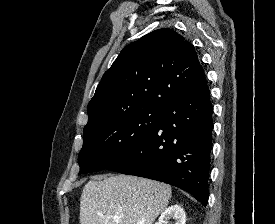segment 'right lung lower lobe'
<instances>
[{"mask_svg":"<svg viewBox=\"0 0 275 224\" xmlns=\"http://www.w3.org/2000/svg\"><path fill=\"white\" fill-rule=\"evenodd\" d=\"M212 128L209 88L202 75L165 108L152 133L108 170L168 183L206 206Z\"/></svg>","mask_w":275,"mask_h":224,"instance_id":"98d812e1","label":"right lung lower lobe"}]
</instances>
